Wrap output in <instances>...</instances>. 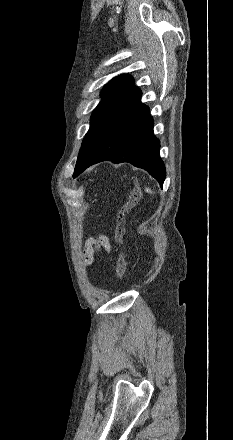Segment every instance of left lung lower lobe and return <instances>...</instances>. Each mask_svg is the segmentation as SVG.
<instances>
[{"label": "left lung lower lobe", "instance_id": "1", "mask_svg": "<svg viewBox=\"0 0 233 440\" xmlns=\"http://www.w3.org/2000/svg\"><path fill=\"white\" fill-rule=\"evenodd\" d=\"M140 98L141 93L109 124L85 160L75 168L74 178L89 166L109 160L143 168L163 185L166 172L159 155L160 143L153 134L150 110Z\"/></svg>", "mask_w": 233, "mask_h": 440}]
</instances>
